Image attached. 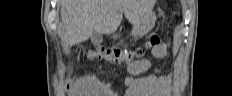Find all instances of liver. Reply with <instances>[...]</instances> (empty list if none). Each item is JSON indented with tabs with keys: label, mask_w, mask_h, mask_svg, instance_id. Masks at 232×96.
<instances>
[{
	"label": "liver",
	"mask_w": 232,
	"mask_h": 96,
	"mask_svg": "<svg viewBox=\"0 0 232 96\" xmlns=\"http://www.w3.org/2000/svg\"><path fill=\"white\" fill-rule=\"evenodd\" d=\"M155 0H62L61 20L65 28L64 43L72 46L99 34H113L123 13L133 24H139L151 12Z\"/></svg>",
	"instance_id": "obj_1"
}]
</instances>
